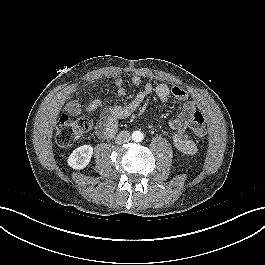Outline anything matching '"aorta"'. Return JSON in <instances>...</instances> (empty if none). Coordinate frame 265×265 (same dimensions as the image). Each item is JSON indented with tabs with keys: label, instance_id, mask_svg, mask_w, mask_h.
Segmentation results:
<instances>
[{
	"label": "aorta",
	"instance_id": "aorta-1",
	"mask_svg": "<svg viewBox=\"0 0 265 265\" xmlns=\"http://www.w3.org/2000/svg\"><path fill=\"white\" fill-rule=\"evenodd\" d=\"M143 133L141 131H134L132 133V139L135 141V142H141L143 140Z\"/></svg>",
	"mask_w": 265,
	"mask_h": 265
}]
</instances>
